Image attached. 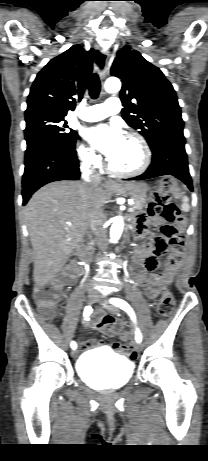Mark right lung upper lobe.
Returning <instances> with one entry per match:
<instances>
[{"label":"right lung upper lobe","instance_id":"obj_1","mask_svg":"<svg viewBox=\"0 0 208 461\" xmlns=\"http://www.w3.org/2000/svg\"><path fill=\"white\" fill-rule=\"evenodd\" d=\"M93 49L74 45L51 59L30 89L25 116H66L82 99L92 72Z\"/></svg>","mask_w":208,"mask_h":461}]
</instances>
